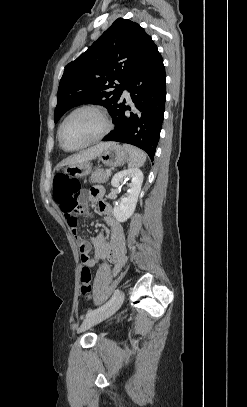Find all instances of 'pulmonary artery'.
Returning <instances> with one entry per match:
<instances>
[{"label":"pulmonary artery","instance_id":"1","mask_svg":"<svg viewBox=\"0 0 247 407\" xmlns=\"http://www.w3.org/2000/svg\"><path fill=\"white\" fill-rule=\"evenodd\" d=\"M124 95H125L126 97H128V96H129V93H128V91H127V90H124Z\"/></svg>","mask_w":247,"mask_h":407}]
</instances>
